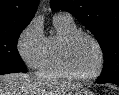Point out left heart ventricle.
Here are the masks:
<instances>
[{
    "instance_id": "b2bd125f",
    "label": "left heart ventricle",
    "mask_w": 119,
    "mask_h": 95,
    "mask_svg": "<svg viewBox=\"0 0 119 95\" xmlns=\"http://www.w3.org/2000/svg\"><path fill=\"white\" fill-rule=\"evenodd\" d=\"M69 58L76 73L90 75L97 70L99 52L92 40L80 36L71 45Z\"/></svg>"
}]
</instances>
